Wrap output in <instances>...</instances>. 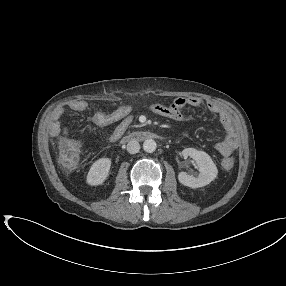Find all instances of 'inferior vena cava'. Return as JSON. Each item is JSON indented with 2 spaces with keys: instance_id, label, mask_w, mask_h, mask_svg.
<instances>
[{
  "instance_id": "1",
  "label": "inferior vena cava",
  "mask_w": 286,
  "mask_h": 286,
  "mask_svg": "<svg viewBox=\"0 0 286 286\" xmlns=\"http://www.w3.org/2000/svg\"><path fill=\"white\" fill-rule=\"evenodd\" d=\"M140 150V144L136 140H130L127 144V151L130 154H136Z\"/></svg>"
}]
</instances>
